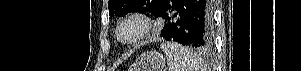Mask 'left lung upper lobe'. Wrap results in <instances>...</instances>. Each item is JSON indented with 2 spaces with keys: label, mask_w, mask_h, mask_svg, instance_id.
<instances>
[{
  "label": "left lung upper lobe",
  "mask_w": 301,
  "mask_h": 71,
  "mask_svg": "<svg viewBox=\"0 0 301 71\" xmlns=\"http://www.w3.org/2000/svg\"><path fill=\"white\" fill-rule=\"evenodd\" d=\"M163 0H109V15L122 17L133 10L149 12L154 16Z\"/></svg>",
  "instance_id": "1"
}]
</instances>
